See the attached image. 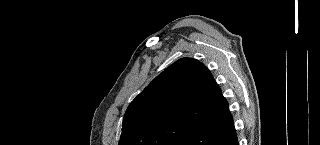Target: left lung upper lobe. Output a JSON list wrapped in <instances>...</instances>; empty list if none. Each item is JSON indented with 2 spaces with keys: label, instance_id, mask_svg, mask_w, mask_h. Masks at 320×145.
<instances>
[{
  "label": "left lung upper lobe",
  "instance_id": "obj_1",
  "mask_svg": "<svg viewBox=\"0 0 320 145\" xmlns=\"http://www.w3.org/2000/svg\"><path fill=\"white\" fill-rule=\"evenodd\" d=\"M213 76L196 59L181 58L131 102L119 145H179L211 111Z\"/></svg>",
  "mask_w": 320,
  "mask_h": 145
}]
</instances>
